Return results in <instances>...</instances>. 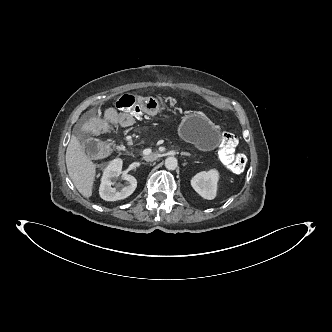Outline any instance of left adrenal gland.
<instances>
[{
	"label": "left adrenal gland",
	"instance_id": "left-adrenal-gland-1",
	"mask_svg": "<svg viewBox=\"0 0 332 332\" xmlns=\"http://www.w3.org/2000/svg\"><path fill=\"white\" fill-rule=\"evenodd\" d=\"M181 155L190 156V154H189V153H186V152H182Z\"/></svg>",
	"mask_w": 332,
	"mask_h": 332
}]
</instances>
